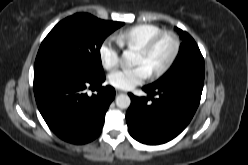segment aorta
<instances>
[{
	"label": "aorta",
	"mask_w": 248,
	"mask_h": 165,
	"mask_svg": "<svg viewBox=\"0 0 248 165\" xmlns=\"http://www.w3.org/2000/svg\"><path fill=\"white\" fill-rule=\"evenodd\" d=\"M123 60L129 65L136 64V54L133 51L125 50L122 53ZM131 99L127 94H119L116 97V105L121 109H126L130 106Z\"/></svg>",
	"instance_id": "1"
}]
</instances>
